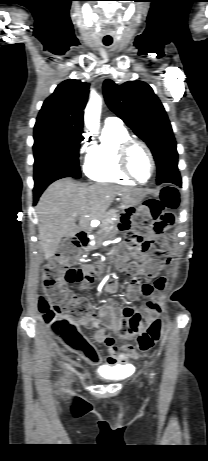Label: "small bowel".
I'll return each mask as SVG.
<instances>
[{
	"instance_id": "obj_1",
	"label": "small bowel",
	"mask_w": 208,
	"mask_h": 461,
	"mask_svg": "<svg viewBox=\"0 0 208 461\" xmlns=\"http://www.w3.org/2000/svg\"><path fill=\"white\" fill-rule=\"evenodd\" d=\"M123 211L125 214H120L119 216L121 222H132L133 217L138 215V210L134 209L133 204H126ZM165 237L167 241H176L178 236L177 233H166ZM126 253L141 262L144 267L151 264L148 255L144 252L128 248ZM165 283L166 279L164 277L158 278L154 283H142L139 277H135L127 283L124 296L130 301L137 300L141 295L148 297L147 303L139 311L126 307L133 311L131 315H126V308L119 310L114 301L108 300L99 308L98 315L92 312L91 315L78 321V324L84 328L96 329L93 336L94 340L104 343L107 347L106 365L109 367H121L122 376L131 368L129 361L136 358L137 353L132 345L117 347L114 338L109 332L125 340L137 339L144 328L143 320H153L158 315L157 293L164 289ZM119 287L116 281L108 280L105 282V290L109 293H116ZM71 349L79 353L90 364H98L102 361L100 353L91 342L84 348Z\"/></svg>"
}]
</instances>
